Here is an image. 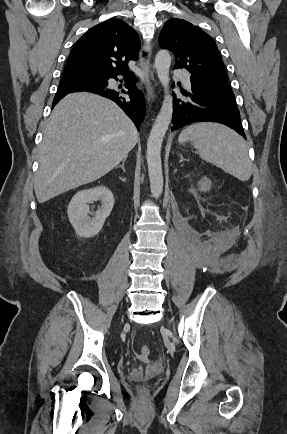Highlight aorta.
<instances>
[{
  "label": "aorta",
  "mask_w": 287,
  "mask_h": 434,
  "mask_svg": "<svg viewBox=\"0 0 287 434\" xmlns=\"http://www.w3.org/2000/svg\"><path fill=\"white\" fill-rule=\"evenodd\" d=\"M171 56L167 50H160L155 57V68L159 81L165 89L160 112L152 126L147 140V164L152 197L157 199L163 191L161 146L173 115V98L169 93V70Z\"/></svg>",
  "instance_id": "762f6f07"
}]
</instances>
